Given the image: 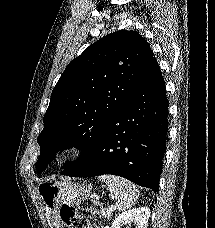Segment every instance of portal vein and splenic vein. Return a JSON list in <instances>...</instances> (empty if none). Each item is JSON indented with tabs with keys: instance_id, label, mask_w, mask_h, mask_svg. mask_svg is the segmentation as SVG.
Instances as JSON below:
<instances>
[{
	"instance_id": "1",
	"label": "portal vein and splenic vein",
	"mask_w": 215,
	"mask_h": 228,
	"mask_svg": "<svg viewBox=\"0 0 215 228\" xmlns=\"http://www.w3.org/2000/svg\"><path fill=\"white\" fill-rule=\"evenodd\" d=\"M110 210H113L112 206H110Z\"/></svg>"
}]
</instances>
